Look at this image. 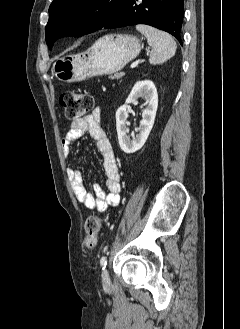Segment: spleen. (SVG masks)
Masks as SVG:
<instances>
[{"label":"spleen","instance_id":"spleen-1","mask_svg":"<svg viewBox=\"0 0 240 329\" xmlns=\"http://www.w3.org/2000/svg\"><path fill=\"white\" fill-rule=\"evenodd\" d=\"M136 29L146 37L152 47L149 58L151 64L162 63L175 55L177 45L171 35L144 24L136 25Z\"/></svg>","mask_w":240,"mask_h":329}]
</instances>
